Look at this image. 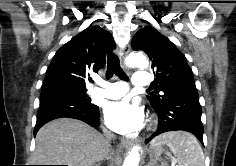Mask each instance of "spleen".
I'll return each mask as SVG.
<instances>
[{
  "mask_svg": "<svg viewBox=\"0 0 236 166\" xmlns=\"http://www.w3.org/2000/svg\"><path fill=\"white\" fill-rule=\"evenodd\" d=\"M154 146L166 145L173 153L177 166H205V157L197 139L183 131L168 132L156 137Z\"/></svg>",
  "mask_w": 236,
  "mask_h": 166,
  "instance_id": "1",
  "label": "spleen"
}]
</instances>
